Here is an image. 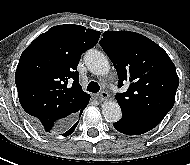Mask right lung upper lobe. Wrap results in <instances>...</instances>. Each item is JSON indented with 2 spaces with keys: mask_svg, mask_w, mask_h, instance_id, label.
I'll return each mask as SVG.
<instances>
[{
  "mask_svg": "<svg viewBox=\"0 0 190 165\" xmlns=\"http://www.w3.org/2000/svg\"><path fill=\"white\" fill-rule=\"evenodd\" d=\"M100 34L80 25H57L22 53L15 73L18 97L40 131H66L88 104L90 95L82 91L77 65L81 54L97 44Z\"/></svg>",
  "mask_w": 190,
  "mask_h": 165,
  "instance_id": "obj_1",
  "label": "right lung upper lobe"
}]
</instances>
